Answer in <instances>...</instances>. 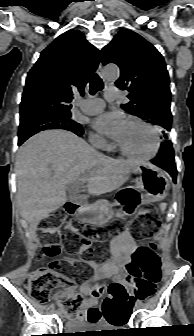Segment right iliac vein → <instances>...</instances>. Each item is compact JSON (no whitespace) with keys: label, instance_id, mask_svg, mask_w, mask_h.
Returning <instances> with one entry per match:
<instances>
[{"label":"right iliac vein","instance_id":"63e3f726","mask_svg":"<svg viewBox=\"0 0 194 336\" xmlns=\"http://www.w3.org/2000/svg\"><path fill=\"white\" fill-rule=\"evenodd\" d=\"M58 314H59V315H62V314H63V309H59V310H58Z\"/></svg>","mask_w":194,"mask_h":336}]
</instances>
